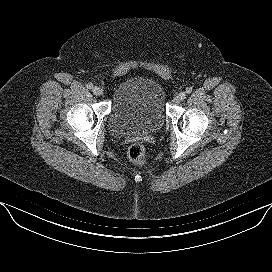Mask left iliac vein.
Here are the masks:
<instances>
[{"mask_svg": "<svg viewBox=\"0 0 272 272\" xmlns=\"http://www.w3.org/2000/svg\"><path fill=\"white\" fill-rule=\"evenodd\" d=\"M186 98V93L181 91L176 95V100L177 101H183Z\"/></svg>", "mask_w": 272, "mask_h": 272, "instance_id": "4c4485c4", "label": "left iliac vein"}]
</instances>
